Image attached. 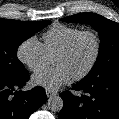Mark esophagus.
<instances>
[{
    "label": "esophagus",
    "mask_w": 119,
    "mask_h": 119,
    "mask_svg": "<svg viewBox=\"0 0 119 119\" xmlns=\"http://www.w3.org/2000/svg\"><path fill=\"white\" fill-rule=\"evenodd\" d=\"M46 95L47 97H52V96L57 95V92L52 91V90H46Z\"/></svg>",
    "instance_id": "34e87169"
}]
</instances>
